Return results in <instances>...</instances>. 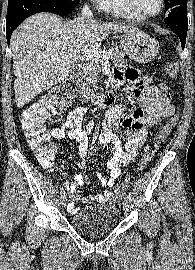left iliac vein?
Wrapping results in <instances>:
<instances>
[{"label": "left iliac vein", "mask_w": 195, "mask_h": 270, "mask_svg": "<svg viewBox=\"0 0 195 270\" xmlns=\"http://www.w3.org/2000/svg\"><path fill=\"white\" fill-rule=\"evenodd\" d=\"M123 207L125 211L129 212L130 211V201L125 197L123 200Z\"/></svg>", "instance_id": "1"}]
</instances>
